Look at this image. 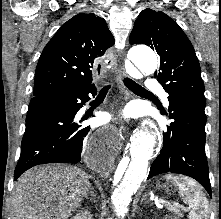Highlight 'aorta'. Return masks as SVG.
Instances as JSON below:
<instances>
[{"mask_svg": "<svg viewBox=\"0 0 221 219\" xmlns=\"http://www.w3.org/2000/svg\"><path fill=\"white\" fill-rule=\"evenodd\" d=\"M127 57L141 72L151 74L157 68V56L149 47H132ZM155 145V133L138 132L130 156L124 157L113 172L111 201L118 217L123 218L128 213L132 197L146 177Z\"/></svg>", "mask_w": 221, "mask_h": 219, "instance_id": "aorta-1", "label": "aorta"}]
</instances>
